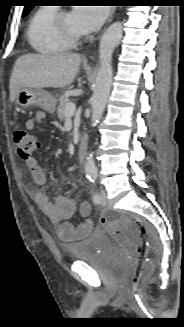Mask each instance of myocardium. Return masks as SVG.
<instances>
[{
  "label": "myocardium",
  "instance_id": "1",
  "mask_svg": "<svg viewBox=\"0 0 184 327\" xmlns=\"http://www.w3.org/2000/svg\"><path fill=\"white\" fill-rule=\"evenodd\" d=\"M68 12L69 11L67 10L58 11L54 17L53 24L61 37H63L71 45H75L80 43L84 39V36L82 34L72 33L66 29L64 24V17Z\"/></svg>",
  "mask_w": 184,
  "mask_h": 327
}]
</instances>
